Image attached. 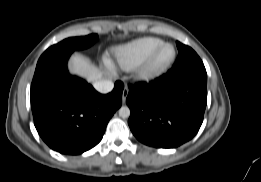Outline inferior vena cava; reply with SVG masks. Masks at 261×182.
<instances>
[{"instance_id": "1", "label": "inferior vena cava", "mask_w": 261, "mask_h": 182, "mask_svg": "<svg viewBox=\"0 0 261 182\" xmlns=\"http://www.w3.org/2000/svg\"><path fill=\"white\" fill-rule=\"evenodd\" d=\"M94 88L100 93H109L114 87V83L111 80L104 79L94 82Z\"/></svg>"}]
</instances>
